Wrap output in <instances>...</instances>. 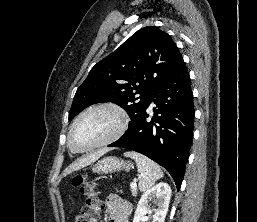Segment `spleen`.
<instances>
[{
    "label": "spleen",
    "mask_w": 257,
    "mask_h": 222,
    "mask_svg": "<svg viewBox=\"0 0 257 222\" xmlns=\"http://www.w3.org/2000/svg\"><path fill=\"white\" fill-rule=\"evenodd\" d=\"M124 156L130 157L136 161L137 169L140 174L139 190L141 192L151 188L158 179L163 177L161 168L146 156L133 151L124 153Z\"/></svg>",
    "instance_id": "1"
}]
</instances>
